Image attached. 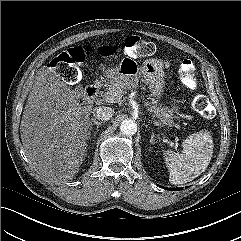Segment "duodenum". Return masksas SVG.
<instances>
[{"label": "duodenum", "instance_id": "duodenum-1", "mask_svg": "<svg viewBox=\"0 0 241 241\" xmlns=\"http://www.w3.org/2000/svg\"><path fill=\"white\" fill-rule=\"evenodd\" d=\"M98 90H99V83L96 82L88 85L84 91L85 101L87 102L93 101L97 96Z\"/></svg>", "mask_w": 241, "mask_h": 241}]
</instances>
